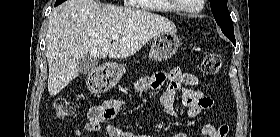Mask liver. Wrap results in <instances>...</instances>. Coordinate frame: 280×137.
Returning a JSON list of instances; mask_svg holds the SVG:
<instances>
[{
	"mask_svg": "<svg viewBox=\"0 0 280 137\" xmlns=\"http://www.w3.org/2000/svg\"><path fill=\"white\" fill-rule=\"evenodd\" d=\"M176 31L171 21L147 11L102 6L96 0L65 1L49 16L46 58L50 96L57 95L78 76L77 61L83 55L127 58L153 37ZM113 35H119V39L112 43Z\"/></svg>",
	"mask_w": 280,
	"mask_h": 137,
	"instance_id": "liver-1",
	"label": "liver"
}]
</instances>
